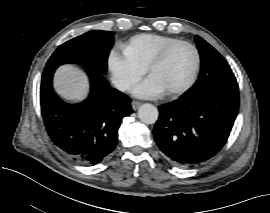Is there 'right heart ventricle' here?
Here are the masks:
<instances>
[{
  "label": "right heart ventricle",
  "instance_id": "e07e8e85",
  "mask_svg": "<svg viewBox=\"0 0 270 213\" xmlns=\"http://www.w3.org/2000/svg\"><path fill=\"white\" fill-rule=\"evenodd\" d=\"M180 39L156 34H144L133 38L124 48L127 56L133 62L148 67L149 63L161 51Z\"/></svg>",
  "mask_w": 270,
  "mask_h": 213
}]
</instances>
